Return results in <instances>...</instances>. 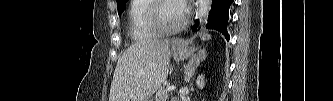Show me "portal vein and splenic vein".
<instances>
[{
    "label": "portal vein and splenic vein",
    "mask_w": 333,
    "mask_h": 101,
    "mask_svg": "<svg viewBox=\"0 0 333 101\" xmlns=\"http://www.w3.org/2000/svg\"><path fill=\"white\" fill-rule=\"evenodd\" d=\"M176 89V86H167L166 90L167 91H173Z\"/></svg>",
    "instance_id": "1"
}]
</instances>
